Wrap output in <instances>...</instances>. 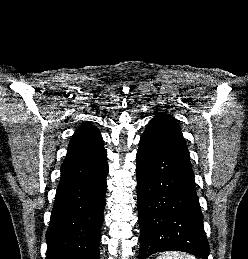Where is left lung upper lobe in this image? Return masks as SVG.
<instances>
[{
  "label": "left lung upper lobe",
  "mask_w": 248,
  "mask_h": 259,
  "mask_svg": "<svg viewBox=\"0 0 248 259\" xmlns=\"http://www.w3.org/2000/svg\"><path fill=\"white\" fill-rule=\"evenodd\" d=\"M140 140L168 151L191 166L185 140L176 119L171 115L156 112Z\"/></svg>",
  "instance_id": "obj_1"
}]
</instances>
